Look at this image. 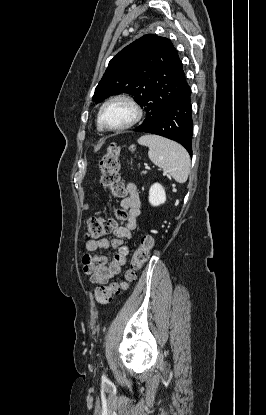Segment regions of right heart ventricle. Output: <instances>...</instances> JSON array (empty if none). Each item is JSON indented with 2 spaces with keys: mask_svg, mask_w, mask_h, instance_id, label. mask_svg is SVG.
<instances>
[{
  "mask_svg": "<svg viewBox=\"0 0 266 415\" xmlns=\"http://www.w3.org/2000/svg\"><path fill=\"white\" fill-rule=\"evenodd\" d=\"M98 128L101 130V127H100V125H98Z\"/></svg>",
  "mask_w": 266,
  "mask_h": 415,
  "instance_id": "e07e8e85",
  "label": "right heart ventricle"
}]
</instances>
